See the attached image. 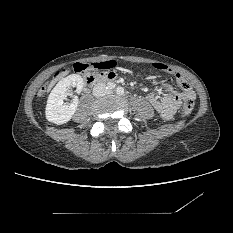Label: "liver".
Wrapping results in <instances>:
<instances>
[{"instance_id": "liver-1", "label": "liver", "mask_w": 233, "mask_h": 233, "mask_svg": "<svg viewBox=\"0 0 233 233\" xmlns=\"http://www.w3.org/2000/svg\"><path fill=\"white\" fill-rule=\"evenodd\" d=\"M67 72H65L64 74H66ZM53 84V82L50 84V86Z\"/></svg>"}]
</instances>
